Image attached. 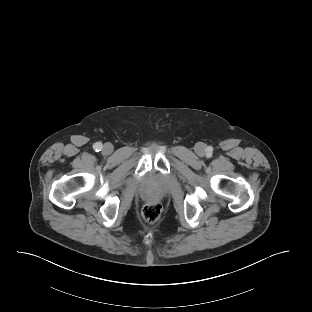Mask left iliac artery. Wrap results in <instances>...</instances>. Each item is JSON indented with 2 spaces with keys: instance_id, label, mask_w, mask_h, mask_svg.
Here are the masks:
<instances>
[{
  "instance_id": "obj_1",
  "label": "left iliac artery",
  "mask_w": 312,
  "mask_h": 312,
  "mask_svg": "<svg viewBox=\"0 0 312 312\" xmlns=\"http://www.w3.org/2000/svg\"><path fill=\"white\" fill-rule=\"evenodd\" d=\"M212 151H213V148H212V147H210V146H209V147H207V153H208V154H211V153H212Z\"/></svg>"
}]
</instances>
